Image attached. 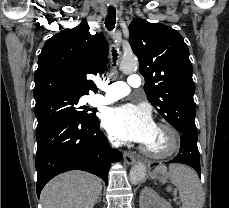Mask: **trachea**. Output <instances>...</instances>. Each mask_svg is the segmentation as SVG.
<instances>
[{"instance_id": "1", "label": "trachea", "mask_w": 229, "mask_h": 208, "mask_svg": "<svg viewBox=\"0 0 229 208\" xmlns=\"http://www.w3.org/2000/svg\"><path fill=\"white\" fill-rule=\"evenodd\" d=\"M115 23H116V10L114 7H109L107 16L105 18V25L107 30H113V28L115 27ZM112 56L114 62L113 66H115L118 57V53L115 49L112 50Z\"/></svg>"}]
</instances>
